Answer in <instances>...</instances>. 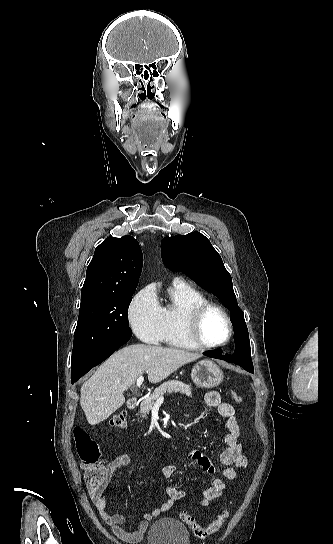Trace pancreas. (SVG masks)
I'll return each instance as SVG.
<instances>
[{
  "instance_id": "1",
  "label": "pancreas",
  "mask_w": 333,
  "mask_h": 544,
  "mask_svg": "<svg viewBox=\"0 0 333 544\" xmlns=\"http://www.w3.org/2000/svg\"><path fill=\"white\" fill-rule=\"evenodd\" d=\"M180 392L188 397H192L191 387L178 380H169L161 384L154 392L146 399H144L140 406V414L142 417H146V414L150 412L154 402L159 399L160 396L165 393Z\"/></svg>"
}]
</instances>
